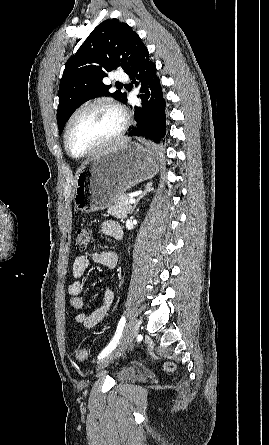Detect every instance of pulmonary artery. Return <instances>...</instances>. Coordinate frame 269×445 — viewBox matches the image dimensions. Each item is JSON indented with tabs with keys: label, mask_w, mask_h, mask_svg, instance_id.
I'll list each match as a JSON object with an SVG mask.
<instances>
[{
	"label": "pulmonary artery",
	"mask_w": 269,
	"mask_h": 445,
	"mask_svg": "<svg viewBox=\"0 0 269 445\" xmlns=\"http://www.w3.org/2000/svg\"><path fill=\"white\" fill-rule=\"evenodd\" d=\"M114 79L117 81H125L127 79V76L122 72H116L114 75Z\"/></svg>",
	"instance_id": "e3ab8cb5"
}]
</instances>
